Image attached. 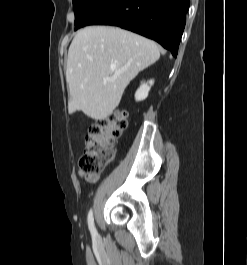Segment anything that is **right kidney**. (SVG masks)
Instances as JSON below:
<instances>
[{
	"label": "right kidney",
	"mask_w": 247,
	"mask_h": 265,
	"mask_svg": "<svg viewBox=\"0 0 247 265\" xmlns=\"http://www.w3.org/2000/svg\"><path fill=\"white\" fill-rule=\"evenodd\" d=\"M153 84H154V80H150L146 83L145 82L141 83V86L138 88V90L135 93L136 101H142L146 99L150 91V88Z\"/></svg>",
	"instance_id": "obj_1"
}]
</instances>
